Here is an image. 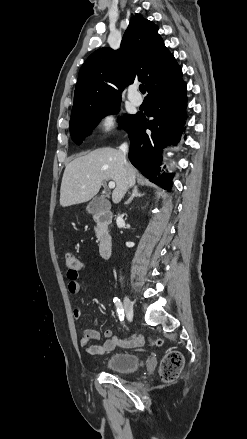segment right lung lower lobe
<instances>
[{"instance_id": "1", "label": "right lung lower lobe", "mask_w": 247, "mask_h": 439, "mask_svg": "<svg viewBox=\"0 0 247 439\" xmlns=\"http://www.w3.org/2000/svg\"><path fill=\"white\" fill-rule=\"evenodd\" d=\"M186 83L157 92L149 97L153 120H147L143 114H136L132 124L126 129L131 143L129 159L131 163L150 181L171 188L170 174L160 172L161 151L180 140L185 124L187 103ZM149 129L150 132H146Z\"/></svg>"}]
</instances>
